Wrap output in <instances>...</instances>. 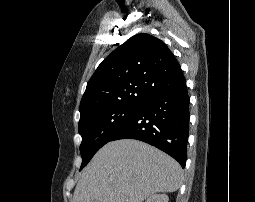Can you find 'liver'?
Wrapping results in <instances>:
<instances>
[{"label": "liver", "instance_id": "liver-1", "mask_svg": "<svg viewBox=\"0 0 255 202\" xmlns=\"http://www.w3.org/2000/svg\"><path fill=\"white\" fill-rule=\"evenodd\" d=\"M182 178L179 163L159 149L134 139L112 141L82 172L72 202H142L177 191Z\"/></svg>", "mask_w": 255, "mask_h": 202}]
</instances>
